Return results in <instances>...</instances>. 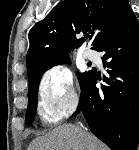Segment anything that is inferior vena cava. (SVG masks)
<instances>
[{"mask_svg": "<svg viewBox=\"0 0 139 150\" xmlns=\"http://www.w3.org/2000/svg\"><path fill=\"white\" fill-rule=\"evenodd\" d=\"M84 129V127L83 126H81V130H83Z\"/></svg>", "mask_w": 139, "mask_h": 150, "instance_id": "602c4592", "label": "inferior vena cava"}]
</instances>
